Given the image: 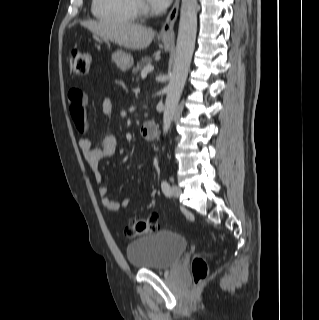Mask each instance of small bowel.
I'll list each match as a JSON object with an SVG mask.
<instances>
[{
  "label": "small bowel",
  "mask_w": 319,
  "mask_h": 320,
  "mask_svg": "<svg viewBox=\"0 0 319 320\" xmlns=\"http://www.w3.org/2000/svg\"><path fill=\"white\" fill-rule=\"evenodd\" d=\"M70 113L76 128L82 126L84 132L87 129L86 121V105L88 102L87 94L78 89L73 88L68 95ZM102 112L104 115L109 116L113 112V103L110 98L106 97L102 102ZM118 148L117 139L113 135H106L103 137L100 145L93 147L91 141L88 138L82 137L79 139V149L81 154L88 165L93 171L94 177L98 183L101 182L102 176L99 171V164L101 160L112 157ZM98 194L101 200V204L107 211H117L121 208L127 207L131 198L126 197L121 201H116L108 196V191L105 186H99Z\"/></svg>",
  "instance_id": "small-bowel-1"
}]
</instances>
